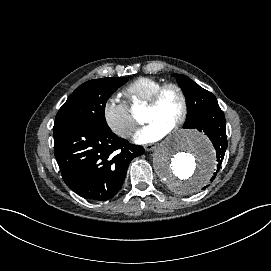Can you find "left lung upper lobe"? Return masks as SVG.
<instances>
[{
	"mask_svg": "<svg viewBox=\"0 0 271 271\" xmlns=\"http://www.w3.org/2000/svg\"><path fill=\"white\" fill-rule=\"evenodd\" d=\"M177 78L188 102V113L184 128H196L214 109L220 108L213 93L203 89L189 77L173 74Z\"/></svg>",
	"mask_w": 271,
	"mask_h": 271,
	"instance_id": "obj_1",
	"label": "left lung upper lobe"
}]
</instances>
